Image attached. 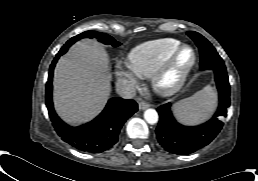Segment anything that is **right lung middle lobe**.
<instances>
[{"label": "right lung middle lobe", "mask_w": 258, "mask_h": 181, "mask_svg": "<svg viewBox=\"0 0 258 181\" xmlns=\"http://www.w3.org/2000/svg\"><path fill=\"white\" fill-rule=\"evenodd\" d=\"M81 38H97L98 41L103 42L104 44L117 47L121 43L117 42L114 38L111 36L105 34V33H100L96 31H86L83 32L73 38H71L61 49H65L66 47H70L72 44H74L77 40Z\"/></svg>", "instance_id": "1"}]
</instances>
